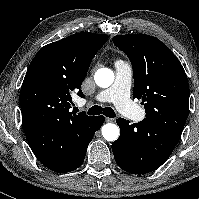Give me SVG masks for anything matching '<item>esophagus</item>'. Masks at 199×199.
Returning a JSON list of instances; mask_svg holds the SVG:
<instances>
[{"instance_id": "1", "label": "esophagus", "mask_w": 199, "mask_h": 199, "mask_svg": "<svg viewBox=\"0 0 199 199\" xmlns=\"http://www.w3.org/2000/svg\"><path fill=\"white\" fill-rule=\"evenodd\" d=\"M105 121H106V122H113V121H114V119L109 118V117H106V118H105Z\"/></svg>"}]
</instances>
